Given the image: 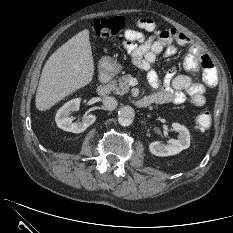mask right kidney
I'll return each mask as SVG.
<instances>
[{"label": "right kidney", "mask_w": 233, "mask_h": 233, "mask_svg": "<svg viewBox=\"0 0 233 233\" xmlns=\"http://www.w3.org/2000/svg\"><path fill=\"white\" fill-rule=\"evenodd\" d=\"M80 102V98L70 100L57 111L55 121L59 128L72 133H81L95 122L96 117L92 114H85L82 121L79 123L73 122V118L70 117V114L73 111L79 110Z\"/></svg>", "instance_id": "obj_1"}]
</instances>
